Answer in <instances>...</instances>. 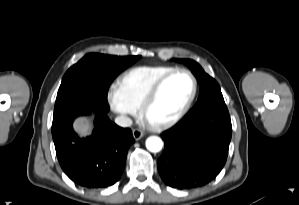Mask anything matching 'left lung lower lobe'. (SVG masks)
I'll use <instances>...</instances> for the list:
<instances>
[{"label": "left lung lower lobe", "mask_w": 299, "mask_h": 205, "mask_svg": "<svg viewBox=\"0 0 299 205\" xmlns=\"http://www.w3.org/2000/svg\"><path fill=\"white\" fill-rule=\"evenodd\" d=\"M231 136L226 106L188 113L162 135L165 150L157 162L162 180L177 189L209 183L225 165Z\"/></svg>", "instance_id": "left-lung-lower-lobe-1"}]
</instances>
